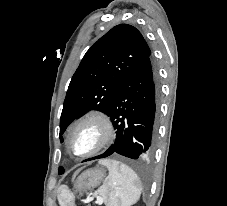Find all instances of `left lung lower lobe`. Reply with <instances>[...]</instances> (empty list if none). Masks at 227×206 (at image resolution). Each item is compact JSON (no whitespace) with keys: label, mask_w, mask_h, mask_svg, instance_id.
I'll return each instance as SVG.
<instances>
[{"label":"left lung lower lobe","mask_w":227,"mask_h":206,"mask_svg":"<svg viewBox=\"0 0 227 206\" xmlns=\"http://www.w3.org/2000/svg\"><path fill=\"white\" fill-rule=\"evenodd\" d=\"M160 88L151 58L122 84L108 116L117 131L114 145L90 161L118 153L137 159L151 154L157 134Z\"/></svg>","instance_id":"obj_1"}]
</instances>
